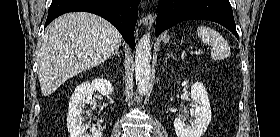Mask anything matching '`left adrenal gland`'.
Masks as SVG:
<instances>
[{
  "instance_id": "a2214340",
  "label": "left adrenal gland",
  "mask_w": 280,
  "mask_h": 137,
  "mask_svg": "<svg viewBox=\"0 0 280 137\" xmlns=\"http://www.w3.org/2000/svg\"><path fill=\"white\" fill-rule=\"evenodd\" d=\"M167 58H170V57H172L173 59H175V57H174V55L172 54V52H169L168 54H167Z\"/></svg>"
}]
</instances>
